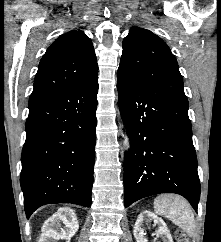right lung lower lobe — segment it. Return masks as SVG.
Wrapping results in <instances>:
<instances>
[{
  "instance_id": "98d812e1",
  "label": "right lung lower lobe",
  "mask_w": 221,
  "mask_h": 242,
  "mask_svg": "<svg viewBox=\"0 0 221 242\" xmlns=\"http://www.w3.org/2000/svg\"><path fill=\"white\" fill-rule=\"evenodd\" d=\"M97 92L98 73L69 91L29 101L20 177L27 218L45 204L91 205Z\"/></svg>"
}]
</instances>
